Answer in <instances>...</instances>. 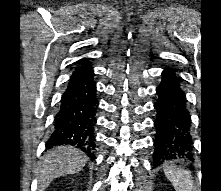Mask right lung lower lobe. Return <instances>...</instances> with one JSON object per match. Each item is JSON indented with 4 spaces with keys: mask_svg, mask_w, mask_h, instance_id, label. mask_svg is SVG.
<instances>
[{
    "mask_svg": "<svg viewBox=\"0 0 221 191\" xmlns=\"http://www.w3.org/2000/svg\"><path fill=\"white\" fill-rule=\"evenodd\" d=\"M77 63L79 66L62 96L60 109L54 119V130L46 147L72 145L94 157V127L99 104L96 84L90 63Z\"/></svg>",
    "mask_w": 221,
    "mask_h": 191,
    "instance_id": "98d812e1",
    "label": "right lung lower lobe"
}]
</instances>
